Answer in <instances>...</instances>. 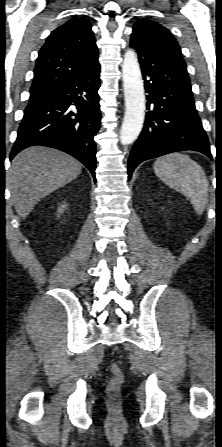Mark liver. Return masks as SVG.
<instances>
[{
    "mask_svg": "<svg viewBox=\"0 0 222 447\" xmlns=\"http://www.w3.org/2000/svg\"><path fill=\"white\" fill-rule=\"evenodd\" d=\"M81 170L79 161L55 149L35 146L21 151L8 172L18 215L25 219L41 199L74 180Z\"/></svg>",
    "mask_w": 222,
    "mask_h": 447,
    "instance_id": "obj_1",
    "label": "liver"
}]
</instances>
